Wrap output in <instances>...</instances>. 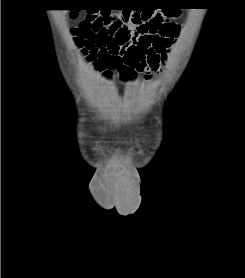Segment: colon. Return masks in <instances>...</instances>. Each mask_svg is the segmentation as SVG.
<instances>
[{
  "instance_id": "1",
  "label": "colon",
  "mask_w": 245,
  "mask_h": 278,
  "mask_svg": "<svg viewBox=\"0 0 245 278\" xmlns=\"http://www.w3.org/2000/svg\"><path fill=\"white\" fill-rule=\"evenodd\" d=\"M86 33L85 51L92 57H102L104 50H97L94 42L101 47L109 37H114L121 46H127L135 39L143 47H150L149 54H163L173 43L178 34L175 24L163 18L150 8H133L124 10L115 16L103 15L92 21H82L71 29L75 42L80 46L78 35Z\"/></svg>"
}]
</instances>
